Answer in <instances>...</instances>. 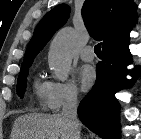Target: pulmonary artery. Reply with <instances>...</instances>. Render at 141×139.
<instances>
[{
  "instance_id": "e3ab8cb5",
  "label": "pulmonary artery",
  "mask_w": 141,
  "mask_h": 139,
  "mask_svg": "<svg viewBox=\"0 0 141 139\" xmlns=\"http://www.w3.org/2000/svg\"><path fill=\"white\" fill-rule=\"evenodd\" d=\"M80 57L83 61H86V62H91L94 60L95 58V55H94V52H93V49L92 47L90 46H87L85 47L81 53H80Z\"/></svg>"
}]
</instances>
